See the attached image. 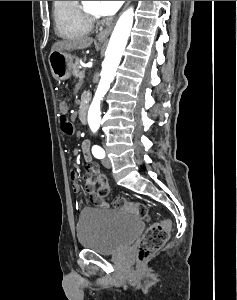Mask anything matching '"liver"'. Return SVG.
Returning a JSON list of instances; mask_svg holds the SVG:
<instances>
[{
	"label": "liver",
	"mask_w": 237,
	"mask_h": 300,
	"mask_svg": "<svg viewBox=\"0 0 237 300\" xmlns=\"http://www.w3.org/2000/svg\"><path fill=\"white\" fill-rule=\"evenodd\" d=\"M92 37H83V39H77V41H58L51 47V53L53 51H76V49H87L93 43Z\"/></svg>",
	"instance_id": "1"
}]
</instances>
